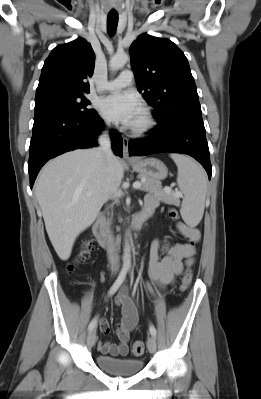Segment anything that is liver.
Returning <instances> with one entry per match:
<instances>
[{
  "mask_svg": "<svg viewBox=\"0 0 261 399\" xmlns=\"http://www.w3.org/2000/svg\"><path fill=\"white\" fill-rule=\"evenodd\" d=\"M123 176L120 159L113 155L107 161L98 148L65 153L44 166L35 195L49 239L61 260L70 257L76 238L95 221Z\"/></svg>",
  "mask_w": 261,
  "mask_h": 399,
  "instance_id": "liver-1",
  "label": "liver"
}]
</instances>
